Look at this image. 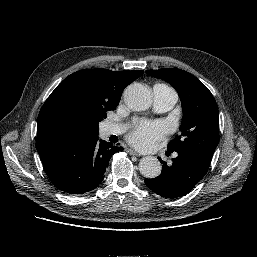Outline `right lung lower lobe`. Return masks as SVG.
Instances as JSON below:
<instances>
[{"mask_svg":"<svg viewBox=\"0 0 257 257\" xmlns=\"http://www.w3.org/2000/svg\"><path fill=\"white\" fill-rule=\"evenodd\" d=\"M122 150L96 135L55 143L39 155L47 176L58 189L84 194L101 184L110 158Z\"/></svg>","mask_w":257,"mask_h":257,"instance_id":"obj_1","label":"right lung lower lobe"}]
</instances>
